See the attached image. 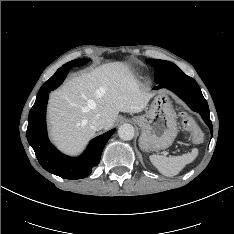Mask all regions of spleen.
<instances>
[{"mask_svg":"<svg viewBox=\"0 0 234 234\" xmlns=\"http://www.w3.org/2000/svg\"><path fill=\"white\" fill-rule=\"evenodd\" d=\"M197 153L198 151L193 149L190 153L181 156L151 155L149 159L161 174L172 177L177 175L187 164L193 162Z\"/></svg>","mask_w":234,"mask_h":234,"instance_id":"spleen-1","label":"spleen"}]
</instances>
